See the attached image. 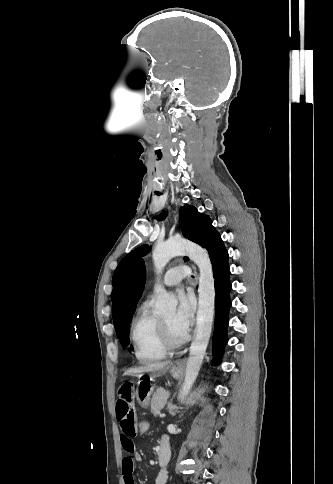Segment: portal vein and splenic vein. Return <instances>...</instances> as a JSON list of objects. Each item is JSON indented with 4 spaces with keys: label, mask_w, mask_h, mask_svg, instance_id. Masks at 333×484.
I'll return each mask as SVG.
<instances>
[{
    "label": "portal vein and splenic vein",
    "mask_w": 333,
    "mask_h": 484,
    "mask_svg": "<svg viewBox=\"0 0 333 484\" xmlns=\"http://www.w3.org/2000/svg\"><path fill=\"white\" fill-rule=\"evenodd\" d=\"M164 416H165L164 414H160V415H159V417H160V418H163Z\"/></svg>",
    "instance_id": "portal-vein-and-splenic-vein-1"
}]
</instances>
